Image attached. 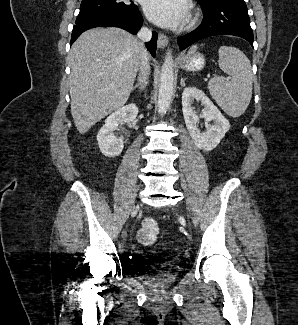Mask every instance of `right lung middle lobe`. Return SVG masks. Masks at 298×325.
I'll list each match as a JSON object with an SVG mask.
<instances>
[{
	"instance_id": "obj_1",
	"label": "right lung middle lobe",
	"mask_w": 298,
	"mask_h": 325,
	"mask_svg": "<svg viewBox=\"0 0 298 325\" xmlns=\"http://www.w3.org/2000/svg\"><path fill=\"white\" fill-rule=\"evenodd\" d=\"M132 0H82L80 15L110 10H135Z\"/></svg>"
}]
</instances>
